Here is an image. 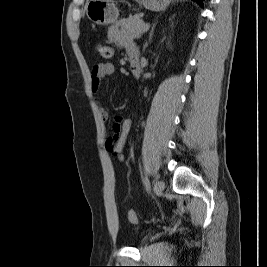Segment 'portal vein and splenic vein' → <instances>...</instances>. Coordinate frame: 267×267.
Wrapping results in <instances>:
<instances>
[{
	"mask_svg": "<svg viewBox=\"0 0 267 267\" xmlns=\"http://www.w3.org/2000/svg\"><path fill=\"white\" fill-rule=\"evenodd\" d=\"M150 28V23H146L143 27V31H147Z\"/></svg>",
	"mask_w": 267,
	"mask_h": 267,
	"instance_id": "obj_1",
	"label": "portal vein and splenic vein"
}]
</instances>
